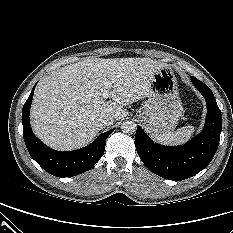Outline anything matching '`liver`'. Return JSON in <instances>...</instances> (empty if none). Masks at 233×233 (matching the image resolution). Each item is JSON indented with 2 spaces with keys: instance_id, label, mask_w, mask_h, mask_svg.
Listing matches in <instances>:
<instances>
[{
  "instance_id": "1",
  "label": "liver",
  "mask_w": 233,
  "mask_h": 233,
  "mask_svg": "<svg viewBox=\"0 0 233 233\" xmlns=\"http://www.w3.org/2000/svg\"><path fill=\"white\" fill-rule=\"evenodd\" d=\"M163 67L150 58H86L66 65L37 85L31 108L34 133L57 150H74L94 140L96 119L120 120L124 106L147 97L155 72ZM112 82V100L103 97L104 81Z\"/></svg>"
}]
</instances>
